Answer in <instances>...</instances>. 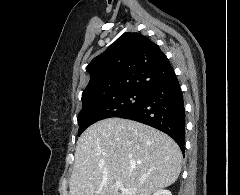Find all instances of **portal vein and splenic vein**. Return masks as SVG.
Masks as SVG:
<instances>
[{
    "mask_svg": "<svg viewBox=\"0 0 240 195\" xmlns=\"http://www.w3.org/2000/svg\"><path fill=\"white\" fill-rule=\"evenodd\" d=\"M115 187L116 189H121V191H126V193H135V189H124L123 183H121V181H116Z\"/></svg>",
    "mask_w": 240,
    "mask_h": 195,
    "instance_id": "portal-vein-and-splenic-vein-1",
    "label": "portal vein and splenic vein"
}]
</instances>
